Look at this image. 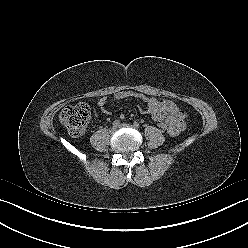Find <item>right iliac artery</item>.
Returning <instances> with one entry per match:
<instances>
[{
    "instance_id": "1",
    "label": "right iliac artery",
    "mask_w": 248,
    "mask_h": 248,
    "mask_svg": "<svg viewBox=\"0 0 248 248\" xmlns=\"http://www.w3.org/2000/svg\"><path fill=\"white\" fill-rule=\"evenodd\" d=\"M113 127H117V126H119L120 125V121L119 120H115V121H113Z\"/></svg>"
}]
</instances>
